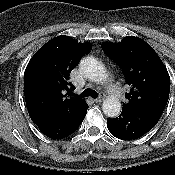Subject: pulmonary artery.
<instances>
[{
	"label": "pulmonary artery",
	"instance_id": "obj_1",
	"mask_svg": "<svg viewBox=\"0 0 175 175\" xmlns=\"http://www.w3.org/2000/svg\"><path fill=\"white\" fill-rule=\"evenodd\" d=\"M109 89H110L117 97H121V96H122L120 90H119L116 86L110 84V85H109Z\"/></svg>",
	"mask_w": 175,
	"mask_h": 175
}]
</instances>
